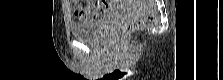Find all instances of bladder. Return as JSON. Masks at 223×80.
Returning a JSON list of instances; mask_svg holds the SVG:
<instances>
[{"instance_id":"obj_1","label":"bladder","mask_w":223,"mask_h":80,"mask_svg":"<svg viewBox=\"0 0 223 80\" xmlns=\"http://www.w3.org/2000/svg\"><path fill=\"white\" fill-rule=\"evenodd\" d=\"M113 14V7L100 15L97 19L73 24L71 26L72 36L80 41H96L103 29L104 22Z\"/></svg>"}]
</instances>
